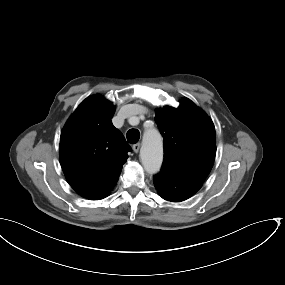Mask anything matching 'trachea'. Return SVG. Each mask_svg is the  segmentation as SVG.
Masks as SVG:
<instances>
[{
  "instance_id": "1",
  "label": "trachea",
  "mask_w": 285,
  "mask_h": 285,
  "mask_svg": "<svg viewBox=\"0 0 285 285\" xmlns=\"http://www.w3.org/2000/svg\"><path fill=\"white\" fill-rule=\"evenodd\" d=\"M127 141L130 143V144H135L138 142L139 138H140V132L137 130V129H130L128 132H127Z\"/></svg>"
}]
</instances>
